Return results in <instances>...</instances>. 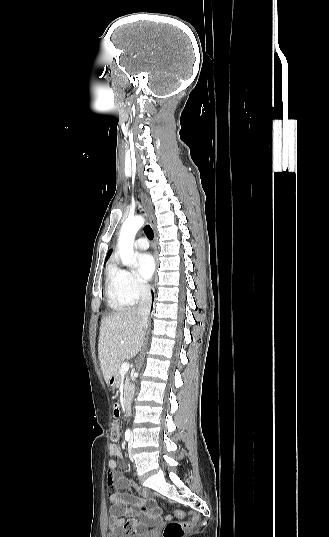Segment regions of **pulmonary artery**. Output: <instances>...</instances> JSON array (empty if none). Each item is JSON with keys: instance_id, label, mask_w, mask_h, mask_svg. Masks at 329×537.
<instances>
[{"instance_id": "pulmonary-artery-1", "label": "pulmonary artery", "mask_w": 329, "mask_h": 537, "mask_svg": "<svg viewBox=\"0 0 329 537\" xmlns=\"http://www.w3.org/2000/svg\"><path fill=\"white\" fill-rule=\"evenodd\" d=\"M134 246H135L136 249L146 250L149 247V243H148V240L146 238H139V239L136 240Z\"/></svg>"}]
</instances>
